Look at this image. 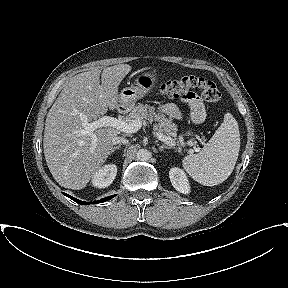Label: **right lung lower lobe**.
I'll return each instance as SVG.
<instances>
[{
    "instance_id": "obj_1",
    "label": "right lung lower lobe",
    "mask_w": 288,
    "mask_h": 288,
    "mask_svg": "<svg viewBox=\"0 0 288 288\" xmlns=\"http://www.w3.org/2000/svg\"><path fill=\"white\" fill-rule=\"evenodd\" d=\"M64 195L67 196V197H69V198L72 199L73 201L77 202L78 204H81V205L90 204V202L80 201V200H78V199H76V198H73L72 196H70V195H68V194H65V193H64ZM115 196H116V195L109 196V197H105V198H103V199H101V200H98V202H105V201H107V200L112 199V198L115 197Z\"/></svg>"
}]
</instances>
